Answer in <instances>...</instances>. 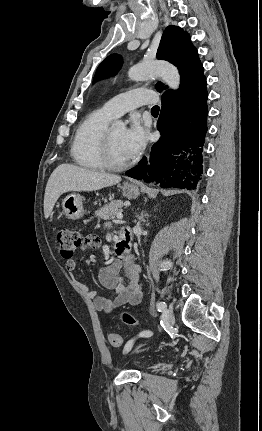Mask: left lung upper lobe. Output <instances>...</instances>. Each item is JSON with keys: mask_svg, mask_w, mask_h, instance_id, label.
I'll return each instance as SVG.
<instances>
[{"mask_svg": "<svg viewBox=\"0 0 262 431\" xmlns=\"http://www.w3.org/2000/svg\"><path fill=\"white\" fill-rule=\"evenodd\" d=\"M156 57L169 61L178 67L181 76V86L178 91L185 90L205 78L196 48L192 45L188 33L179 27L168 26L165 29ZM121 65L122 58L120 56L117 54L110 55L99 65L94 80L113 75L120 69ZM156 88L161 92L166 87L158 82ZM169 93L174 92L167 90L163 94Z\"/></svg>", "mask_w": 262, "mask_h": 431, "instance_id": "5c2ea615", "label": "left lung upper lobe"}]
</instances>
